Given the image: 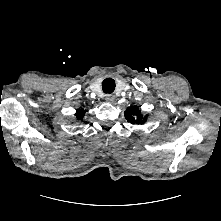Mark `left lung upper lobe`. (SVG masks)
<instances>
[{"mask_svg":"<svg viewBox=\"0 0 221 221\" xmlns=\"http://www.w3.org/2000/svg\"><path fill=\"white\" fill-rule=\"evenodd\" d=\"M124 114L127 121L132 124L144 123L147 120V116L143 117L137 106L128 107Z\"/></svg>","mask_w":221,"mask_h":221,"instance_id":"left-lung-upper-lobe-1","label":"left lung upper lobe"}]
</instances>
